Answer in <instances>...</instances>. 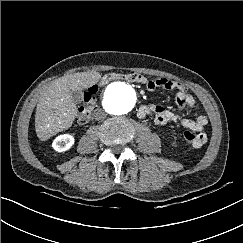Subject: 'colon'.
<instances>
[{
    "mask_svg": "<svg viewBox=\"0 0 243 243\" xmlns=\"http://www.w3.org/2000/svg\"><path fill=\"white\" fill-rule=\"evenodd\" d=\"M122 79L133 83H146L147 79L139 73H117L110 72L105 74L101 80L100 84L105 85L112 80ZM98 92V86L94 85L90 87L84 94V103L79 107L77 112V120L80 124H85L89 121L91 117V112L94 107L96 94ZM184 139L189 143H194L197 140L196 134L192 131L187 130L184 132Z\"/></svg>",
    "mask_w": 243,
    "mask_h": 243,
    "instance_id": "obj_1",
    "label": "colon"
}]
</instances>
